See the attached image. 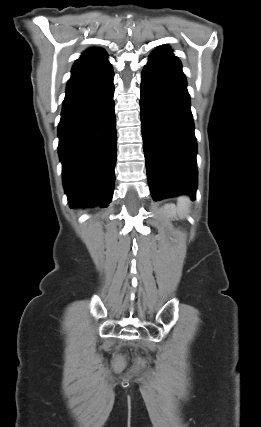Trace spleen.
Wrapping results in <instances>:
<instances>
[{
    "mask_svg": "<svg viewBox=\"0 0 261 427\" xmlns=\"http://www.w3.org/2000/svg\"><path fill=\"white\" fill-rule=\"evenodd\" d=\"M190 209V199L187 196H180L177 201V210L179 216L184 218L185 214L189 212Z\"/></svg>",
    "mask_w": 261,
    "mask_h": 427,
    "instance_id": "obj_1",
    "label": "spleen"
}]
</instances>
